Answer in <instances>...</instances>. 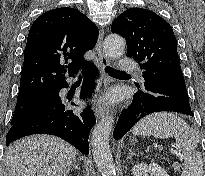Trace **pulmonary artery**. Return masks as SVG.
I'll return each instance as SVG.
<instances>
[{"instance_id": "obj_1", "label": "pulmonary artery", "mask_w": 205, "mask_h": 176, "mask_svg": "<svg viewBox=\"0 0 205 176\" xmlns=\"http://www.w3.org/2000/svg\"><path fill=\"white\" fill-rule=\"evenodd\" d=\"M120 65H119V69L123 70V71H135L139 74V76L141 77V72L138 68V66L127 56H121L120 57Z\"/></svg>"}]
</instances>
